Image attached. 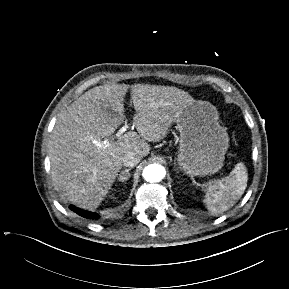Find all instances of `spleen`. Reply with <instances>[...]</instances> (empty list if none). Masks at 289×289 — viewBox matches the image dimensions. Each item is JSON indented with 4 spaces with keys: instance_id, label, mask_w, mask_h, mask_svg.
<instances>
[{
    "instance_id": "spleen-1",
    "label": "spleen",
    "mask_w": 289,
    "mask_h": 289,
    "mask_svg": "<svg viewBox=\"0 0 289 289\" xmlns=\"http://www.w3.org/2000/svg\"><path fill=\"white\" fill-rule=\"evenodd\" d=\"M248 181L245 165L237 163L229 176L205 184V203L208 210L222 213L231 208L243 195Z\"/></svg>"
}]
</instances>
